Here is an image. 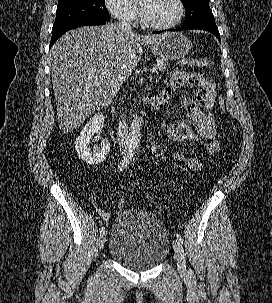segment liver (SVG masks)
<instances>
[{
    "label": "liver",
    "instance_id": "1",
    "mask_svg": "<svg viewBox=\"0 0 272 303\" xmlns=\"http://www.w3.org/2000/svg\"><path fill=\"white\" fill-rule=\"evenodd\" d=\"M165 36L124 33L118 23L65 33L50 51L60 130L72 131L95 110L111 103L140 61L141 45L153 46Z\"/></svg>",
    "mask_w": 272,
    "mask_h": 303
}]
</instances>
